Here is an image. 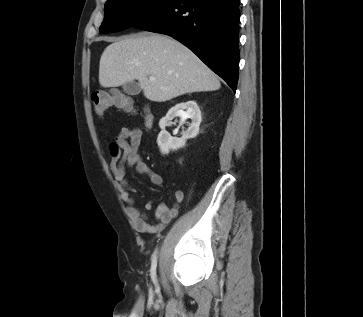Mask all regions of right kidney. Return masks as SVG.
<instances>
[{
    "label": "right kidney",
    "instance_id": "obj_1",
    "mask_svg": "<svg viewBox=\"0 0 363 317\" xmlns=\"http://www.w3.org/2000/svg\"><path fill=\"white\" fill-rule=\"evenodd\" d=\"M175 117L190 118L192 121L188 129L182 133L181 138H174L165 130L167 122ZM201 120V111L195 101L182 102L172 107L166 116L159 121L161 132L158 135L157 144L160 152L168 154L170 150L184 147L187 139L197 136Z\"/></svg>",
    "mask_w": 363,
    "mask_h": 317
}]
</instances>
